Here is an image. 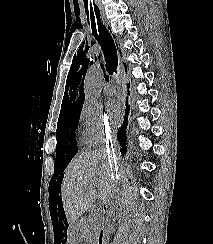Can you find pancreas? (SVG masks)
<instances>
[{
	"instance_id": "1",
	"label": "pancreas",
	"mask_w": 213,
	"mask_h": 244,
	"mask_svg": "<svg viewBox=\"0 0 213 244\" xmlns=\"http://www.w3.org/2000/svg\"><path fill=\"white\" fill-rule=\"evenodd\" d=\"M82 233L84 238L89 241H96L99 233H100V224L99 221L95 218H91L88 221L83 223Z\"/></svg>"
}]
</instances>
